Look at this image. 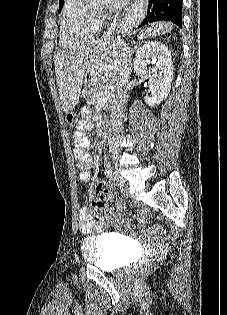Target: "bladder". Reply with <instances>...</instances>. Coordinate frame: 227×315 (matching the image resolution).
<instances>
[{
	"mask_svg": "<svg viewBox=\"0 0 227 315\" xmlns=\"http://www.w3.org/2000/svg\"><path fill=\"white\" fill-rule=\"evenodd\" d=\"M84 260L101 270L113 271L123 266L130 248L116 237H87L81 244Z\"/></svg>",
	"mask_w": 227,
	"mask_h": 315,
	"instance_id": "1",
	"label": "bladder"
}]
</instances>
